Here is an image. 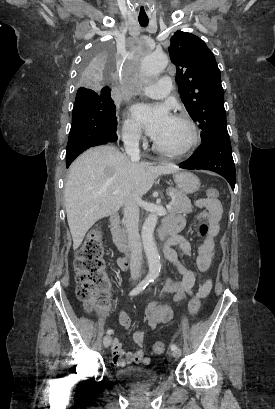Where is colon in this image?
<instances>
[{
	"label": "colon",
	"mask_w": 275,
	"mask_h": 409,
	"mask_svg": "<svg viewBox=\"0 0 275 409\" xmlns=\"http://www.w3.org/2000/svg\"><path fill=\"white\" fill-rule=\"evenodd\" d=\"M207 196L215 199L219 196L216 188L207 191ZM209 231L206 221H201L197 226L198 236L204 238ZM103 232L99 226L89 231L78 250V257L75 261L76 276L78 283L76 289L77 298L83 303L87 312L105 308L111 301V294L108 290L112 286V280L106 272V262L104 255ZM201 295H195L188 306V315L193 317L200 309ZM154 356H163L164 345L162 342L154 343Z\"/></svg>",
	"instance_id": "5ec220e1"
}]
</instances>
